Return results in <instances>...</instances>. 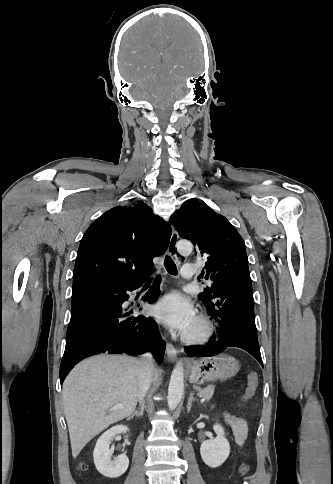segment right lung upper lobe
<instances>
[{"label":"right lung upper lobe","mask_w":333,"mask_h":484,"mask_svg":"<svg viewBox=\"0 0 333 484\" xmlns=\"http://www.w3.org/2000/svg\"><path fill=\"white\" fill-rule=\"evenodd\" d=\"M171 236L169 223L138 202L101 215L85 232L76 257L73 287L89 283L130 286L147 278L153 258Z\"/></svg>","instance_id":"cb5924a9"}]
</instances>
